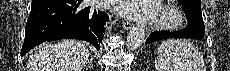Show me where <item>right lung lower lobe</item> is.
I'll return each mask as SVG.
<instances>
[{
    "label": "right lung lower lobe",
    "mask_w": 230,
    "mask_h": 71,
    "mask_svg": "<svg viewBox=\"0 0 230 71\" xmlns=\"http://www.w3.org/2000/svg\"><path fill=\"white\" fill-rule=\"evenodd\" d=\"M83 0H33L25 26L21 56L45 42L60 39L85 40L100 49L108 15Z\"/></svg>",
    "instance_id": "98d812e1"
}]
</instances>
